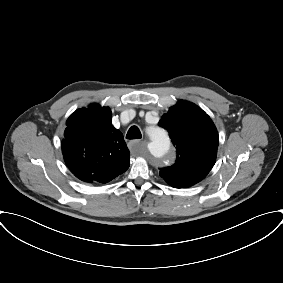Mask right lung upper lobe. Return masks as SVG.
<instances>
[{
  "label": "right lung upper lobe",
  "instance_id": "right-lung-upper-lobe-1",
  "mask_svg": "<svg viewBox=\"0 0 283 283\" xmlns=\"http://www.w3.org/2000/svg\"><path fill=\"white\" fill-rule=\"evenodd\" d=\"M62 150L79 179L107 183L129 167V150L122 133L111 124V110L92 104L67 120Z\"/></svg>",
  "mask_w": 283,
  "mask_h": 283
}]
</instances>
